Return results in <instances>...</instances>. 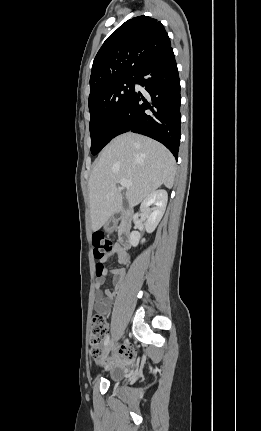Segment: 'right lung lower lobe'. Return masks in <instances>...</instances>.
I'll list each match as a JSON object with an SVG mask.
<instances>
[{
  "mask_svg": "<svg viewBox=\"0 0 261 431\" xmlns=\"http://www.w3.org/2000/svg\"><path fill=\"white\" fill-rule=\"evenodd\" d=\"M136 83L147 94L134 91L118 119L113 138L132 131L164 144L178 158L180 145V79L173 49L146 64L136 76Z\"/></svg>",
  "mask_w": 261,
  "mask_h": 431,
  "instance_id": "98d812e1",
  "label": "right lung lower lobe"
}]
</instances>
